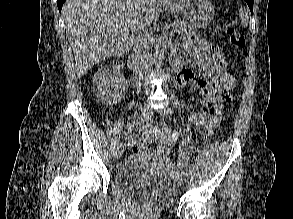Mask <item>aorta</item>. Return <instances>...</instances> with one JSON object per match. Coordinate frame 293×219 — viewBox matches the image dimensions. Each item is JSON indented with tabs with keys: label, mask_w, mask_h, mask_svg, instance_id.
<instances>
[{
	"label": "aorta",
	"mask_w": 293,
	"mask_h": 219,
	"mask_svg": "<svg viewBox=\"0 0 293 219\" xmlns=\"http://www.w3.org/2000/svg\"><path fill=\"white\" fill-rule=\"evenodd\" d=\"M166 43V38L161 35L158 37L156 41L153 62L158 68L161 67L164 61Z\"/></svg>",
	"instance_id": "obj_1"
}]
</instances>
